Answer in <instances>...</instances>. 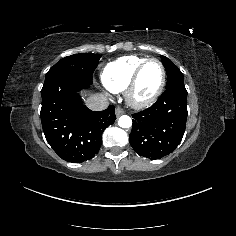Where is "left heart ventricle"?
I'll return each mask as SVG.
<instances>
[{"instance_id": "obj_1", "label": "left heart ventricle", "mask_w": 236, "mask_h": 236, "mask_svg": "<svg viewBox=\"0 0 236 236\" xmlns=\"http://www.w3.org/2000/svg\"><path fill=\"white\" fill-rule=\"evenodd\" d=\"M162 78V68L156 62L149 63L141 72L136 89L135 96L138 99H147L154 94Z\"/></svg>"}]
</instances>
